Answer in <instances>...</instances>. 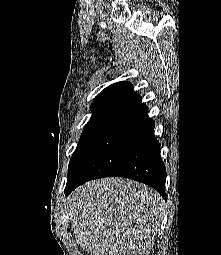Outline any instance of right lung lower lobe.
<instances>
[{
  "label": "right lung lower lobe",
  "instance_id": "1",
  "mask_svg": "<svg viewBox=\"0 0 221 255\" xmlns=\"http://www.w3.org/2000/svg\"><path fill=\"white\" fill-rule=\"evenodd\" d=\"M108 176L145 183L167 199L160 144L141 97L115 110L68 174L64 192L69 195L87 181Z\"/></svg>",
  "mask_w": 221,
  "mask_h": 255
}]
</instances>
